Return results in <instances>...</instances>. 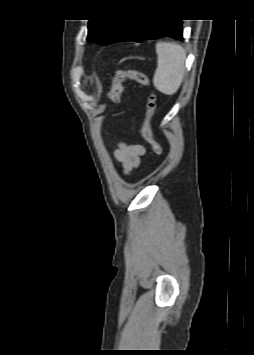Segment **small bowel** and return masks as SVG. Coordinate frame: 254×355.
I'll use <instances>...</instances> for the list:
<instances>
[{
	"instance_id": "small-bowel-1",
	"label": "small bowel",
	"mask_w": 254,
	"mask_h": 355,
	"mask_svg": "<svg viewBox=\"0 0 254 355\" xmlns=\"http://www.w3.org/2000/svg\"><path fill=\"white\" fill-rule=\"evenodd\" d=\"M145 154V147L138 143H121L114 150V157L122 165L125 174L138 168Z\"/></svg>"
}]
</instances>
